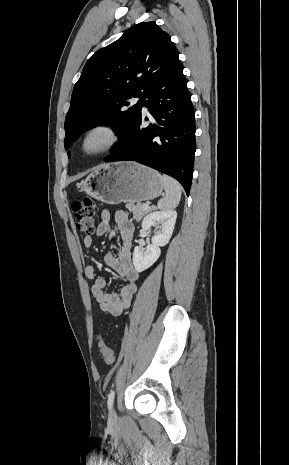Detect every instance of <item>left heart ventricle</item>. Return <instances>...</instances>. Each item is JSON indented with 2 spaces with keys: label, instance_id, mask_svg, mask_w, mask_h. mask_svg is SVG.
Instances as JSON below:
<instances>
[{
  "label": "left heart ventricle",
  "instance_id": "left-heart-ventricle-1",
  "mask_svg": "<svg viewBox=\"0 0 289 465\" xmlns=\"http://www.w3.org/2000/svg\"><path fill=\"white\" fill-rule=\"evenodd\" d=\"M105 141V136L103 134L97 133L90 137L87 143L89 149H96L101 146Z\"/></svg>",
  "mask_w": 289,
  "mask_h": 465
}]
</instances>
